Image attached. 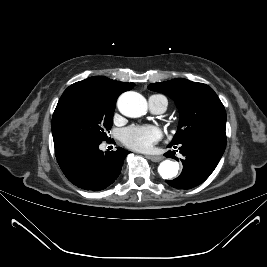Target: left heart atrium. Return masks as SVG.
I'll use <instances>...</instances> for the list:
<instances>
[{
  "label": "left heart atrium",
  "instance_id": "39dd6f15",
  "mask_svg": "<svg viewBox=\"0 0 267 267\" xmlns=\"http://www.w3.org/2000/svg\"><path fill=\"white\" fill-rule=\"evenodd\" d=\"M162 137V132L155 126H130L120 133L121 141L137 151H149Z\"/></svg>",
  "mask_w": 267,
  "mask_h": 267
}]
</instances>
